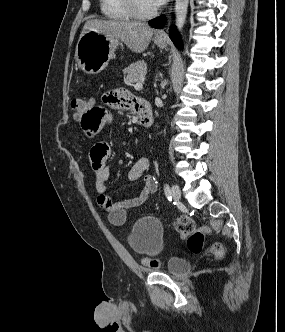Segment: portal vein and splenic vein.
<instances>
[{
  "mask_svg": "<svg viewBox=\"0 0 285 332\" xmlns=\"http://www.w3.org/2000/svg\"><path fill=\"white\" fill-rule=\"evenodd\" d=\"M144 80H145L144 77L141 78V79L135 84L134 88H135L136 90H141L142 87H143V82H144Z\"/></svg>",
  "mask_w": 285,
  "mask_h": 332,
  "instance_id": "1",
  "label": "portal vein and splenic vein"
}]
</instances>
